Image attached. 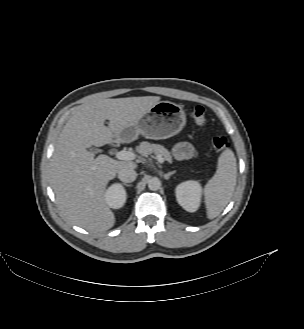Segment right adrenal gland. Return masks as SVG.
Listing matches in <instances>:
<instances>
[{"label":"right adrenal gland","mask_w":304,"mask_h":329,"mask_svg":"<svg viewBox=\"0 0 304 329\" xmlns=\"http://www.w3.org/2000/svg\"><path fill=\"white\" fill-rule=\"evenodd\" d=\"M123 185L126 186V187H130L131 186V184H126V183H123Z\"/></svg>","instance_id":"2a0ac1e0"}]
</instances>
